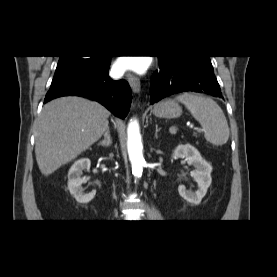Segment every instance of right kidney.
<instances>
[{
  "label": "right kidney",
  "instance_id": "right-kidney-1",
  "mask_svg": "<svg viewBox=\"0 0 277 277\" xmlns=\"http://www.w3.org/2000/svg\"><path fill=\"white\" fill-rule=\"evenodd\" d=\"M91 161L88 158H81L74 162L68 172V189L71 195L76 199L78 203L87 204L95 196L96 191L85 193L82 188L83 180L81 178L82 172L85 169H89Z\"/></svg>",
  "mask_w": 277,
  "mask_h": 277
}]
</instances>
